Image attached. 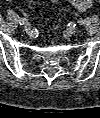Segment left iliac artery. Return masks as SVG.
Listing matches in <instances>:
<instances>
[{
    "instance_id": "1",
    "label": "left iliac artery",
    "mask_w": 100,
    "mask_h": 118,
    "mask_svg": "<svg viewBox=\"0 0 100 118\" xmlns=\"http://www.w3.org/2000/svg\"><path fill=\"white\" fill-rule=\"evenodd\" d=\"M77 23L79 24V25H84L85 24V20H83V19H79L78 21H77Z\"/></svg>"
}]
</instances>
